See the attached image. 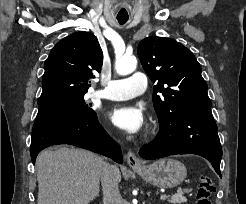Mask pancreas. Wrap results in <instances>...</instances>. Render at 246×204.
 <instances>
[{
  "mask_svg": "<svg viewBox=\"0 0 246 204\" xmlns=\"http://www.w3.org/2000/svg\"><path fill=\"white\" fill-rule=\"evenodd\" d=\"M187 201V198L182 196V195H173L169 202L172 204H181V203H185Z\"/></svg>",
  "mask_w": 246,
  "mask_h": 204,
  "instance_id": "cf45deb5",
  "label": "pancreas"
}]
</instances>
